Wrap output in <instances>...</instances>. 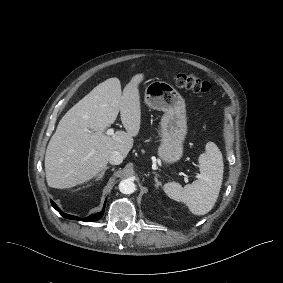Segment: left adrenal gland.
I'll return each mask as SVG.
<instances>
[{"instance_id": "left-adrenal-gland-1", "label": "left adrenal gland", "mask_w": 283, "mask_h": 283, "mask_svg": "<svg viewBox=\"0 0 283 283\" xmlns=\"http://www.w3.org/2000/svg\"><path fill=\"white\" fill-rule=\"evenodd\" d=\"M155 175L154 180H155V187L162 185V182L160 180H158V176L156 174V172L153 173Z\"/></svg>"}]
</instances>
